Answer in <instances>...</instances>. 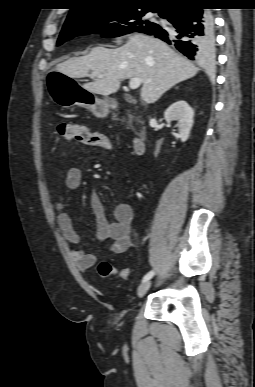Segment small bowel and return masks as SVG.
<instances>
[{"label":"small bowel","mask_w":255,"mask_h":387,"mask_svg":"<svg viewBox=\"0 0 255 387\" xmlns=\"http://www.w3.org/2000/svg\"><path fill=\"white\" fill-rule=\"evenodd\" d=\"M82 181V172L77 167H71L66 172L65 190L55 202V211L57 213V223L62 230L65 238L72 244H79L81 239L77 234L71 216L66 211L65 199L66 193L79 188ZM91 209L95 218L96 236L100 241H111V251L121 254L131 249L133 243V218L134 210L127 203H120L113 212V219L108 221L106 218L105 207L101 198L97 194L90 197ZM71 256L76 266L84 271L93 267L97 262V256L88 253L83 249H73Z\"/></svg>","instance_id":"obj_1"}]
</instances>
